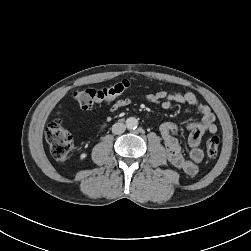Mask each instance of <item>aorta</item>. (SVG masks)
<instances>
[{"mask_svg": "<svg viewBox=\"0 0 251 251\" xmlns=\"http://www.w3.org/2000/svg\"><path fill=\"white\" fill-rule=\"evenodd\" d=\"M138 126V120L135 117H129L126 119V127L128 129H135Z\"/></svg>", "mask_w": 251, "mask_h": 251, "instance_id": "762f6f07", "label": "aorta"}]
</instances>
